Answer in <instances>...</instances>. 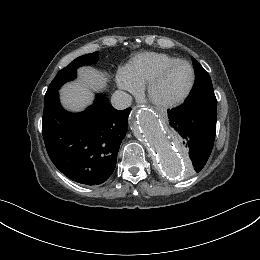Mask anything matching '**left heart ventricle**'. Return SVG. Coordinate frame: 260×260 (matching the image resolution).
I'll return each mask as SVG.
<instances>
[{"mask_svg":"<svg viewBox=\"0 0 260 260\" xmlns=\"http://www.w3.org/2000/svg\"><path fill=\"white\" fill-rule=\"evenodd\" d=\"M192 78L189 66L182 64L172 69L155 88L153 95L157 100H173L182 95Z\"/></svg>","mask_w":260,"mask_h":260,"instance_id":"b2bd125f","label":"left heart ventricle"}]
</instances>
